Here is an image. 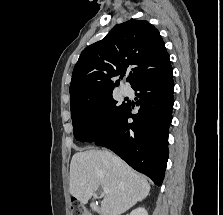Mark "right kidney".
<instances>
[{"label": "right kidney", "instance_id": "obj_1", "mask_svg": "<svg viewBox=\"0 0 223 215\" xmlns=\"http://www.w3.org/2000/svg\"><path fill=\"white\" fill-rule=\"evenodd\" d=\"M130 215H148V211H146L145 207H137V209H133Z\"/></svg>", "mask_w": 223, "mask_h": 215}]
</instances>
